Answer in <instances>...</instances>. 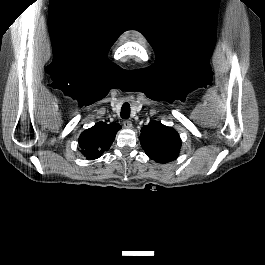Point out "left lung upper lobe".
Returning <instances> with one entry per match:
<instances>
[{
  "mask_svg": "<svg viewBox=\"0 0 265 265\" xmlns=\"http://www.w3.org/2000/svg\"><path fill=\"white\" fill-rule=\"evenodd\" d=\"M140 141L146 155L159 163L175 160L181 147L177 131L157 121L141 129Z\"/></svg>",
  "mask_w": 265,
  "mask_h": 265,
  "instance_id": "1",
  "label": "left lung upper lobe"
}]
</instances>
